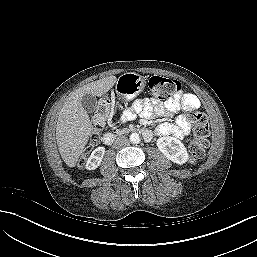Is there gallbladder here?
Segmentation results:
<instances>
[{"mask_svg": "<svg viewBox=\"0 0 257 257\" xmlns=\"http://www.w3.org/2000/svg\"><path fill=\"white\" fill-rule=\"evenodd\" d=\"M81 103L88 113H93L98 106L97 98L94 95L86 94L82 97Z\"/></svg>", "mask_w": 257, "mask_h": 257, "instance_id": "obj_1", "label": "gallbladder"}]
</instances>
